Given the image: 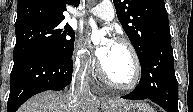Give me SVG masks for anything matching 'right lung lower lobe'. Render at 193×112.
<instances>
[{
    "label": "right lung lower lobe",
    "mask_w": 193,
    "mask_h": 112,
    "mask_svg": "<svg viewBox=\"0 0 193 112\" xmlns=\"http://www.w3.org/2000/svg\"><path fill=\"white\" fill-rule=\"evenodd\" d=\"M72 71V58L51 49H37L14 59L7 112H16L37 93L68 87Z\"/></svg>",
    "instance_id": "right-lung-lower-lobe-1"
}]
</instances>
